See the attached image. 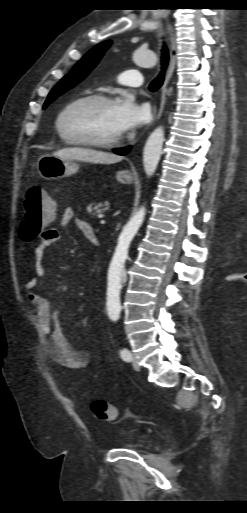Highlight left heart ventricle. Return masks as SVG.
I'll return each mask as SVG.
<instances>
[{
	"label": "left heart ventricle",
	"mask_w": 247,
	"mask_h": 513,
	"mask_svg": "<svg viewBox=\"0 0 247 513\" xmlns=\"http://www.w3.org/2000/svg\"><path fill=\"white\" fill-rule=\"evenodd\" d=\"M62 130L71 138L107 140L121 135L116 104L87 101L73 105L65 114Z\"/></svg>",
	"instance_id": "b2bd125f"
}]
</instances>
